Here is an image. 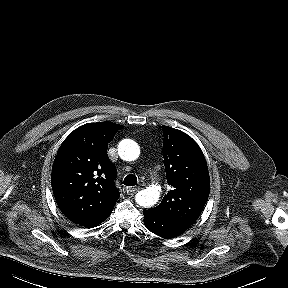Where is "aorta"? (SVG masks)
Wrapping results in <instances>:
<instances>
[{"label":"aorta","mask_w":288,"mask_h":288,"mask_svg":"<svg viewBox=\"0 0 288 288\" xmlns=\"http://www.w3.org/2000/svg\"><path fill=\"white\" fill-rule=\"evenodd\" d=\"M118 153L121 159L125 161H134L140 155L138 144L131 139H124L118 146ZM160 197V187L151 185L144 190L139 191L136 196V202L142 207H151L156 204Z\"/></svg>","instance_id":"obj_1"}]
</instances>
